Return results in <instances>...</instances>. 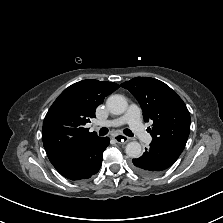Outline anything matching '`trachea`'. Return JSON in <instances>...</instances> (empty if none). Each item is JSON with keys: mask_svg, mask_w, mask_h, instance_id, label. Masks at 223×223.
Masks as SVG:
<instances>
[{"mask_svg": "<svg viewBox=\"0 0 223 223\" xmlns=\"http://www.w3.org/2000/svg\"><path fill=\"white\" fill-rule=\"evenodd\" d=\"M107 133H108V129H107V128L103 127V128L100 129V132H99L100 136H104V135H106ZM123 133H124L125 135L129 136V137H133V133H132V131L129 130V129H124V130H123Z\"/></svg>", "mask_w": 223, "mask_h": 223, "instance_id": "1", "label": "trachea"}]
</instances>
